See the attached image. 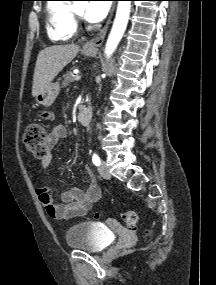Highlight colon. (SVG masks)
<instances>
[{"instance_id":"obj_1","label":"colon","mask_w":216,"mask_h":285,"mask_svg":"<svg viewBox=\"0 0 216 285\" xmlns=\"http://www.w3.org/2000/svg\"><path fill=\"white\" fill-rule=\"evenodd\" d=\"M48 135L44 126L38 123L28 125L23 134V142L26 150L36 159L43 160L49 154ZM122 219L129 228H135L138 222V214L133 210L123 212ZM97 218V216L95 217ZM146 235L151 234V230L145 231Z\"/></svg>"}]
</instances>
